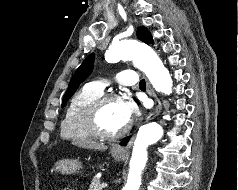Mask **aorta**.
Masks as SVG:
<instances>
[{"mask_svg":"<svg viewBox=\"0 0 238 190\" xmlns=\"http://www.w3.org/2000/svg\"><path fill=\"white\" fill-rule=\"evenodd\" d=\"M106 60L114 63L120 60H132L143 71L156 91L166 95L172 93V79L158 55L146 44L137 40H121L112 43L106 51ZM163 136V129L157 122H150L140 127L130 161V172L122 190H139L141 173L147 161V148L158 142Z\"/></svg>","mask_w":238,"mask_h":190,"instance_id":"obj_1","label":"aorta"}]
</instances>
